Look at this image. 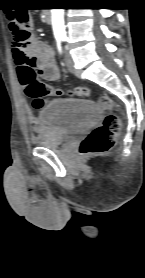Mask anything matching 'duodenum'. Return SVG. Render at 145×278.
I'll return each mask as SVG.
<instances>
[{
  "label": "duodenum",
  "instance_id": "duodenum-1",
  "mask_svg": "<svg viewBox=\"0 0 145 278\" xmlns=\"http://www.w3.org/2000/svg\"><path fill=\"white\" fill-rule=\"evenodd\" d=\"M44 20L46 23L50 24L51 20H52V16H51V11L47 10V12L44 15Z\"/></svg>",
  "mask_w": 145,
  "mask_h": 278
}]
</instances>
